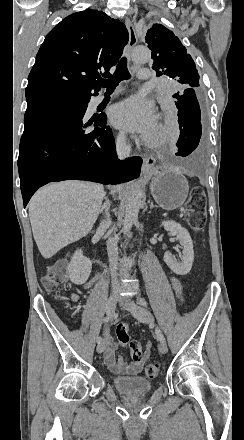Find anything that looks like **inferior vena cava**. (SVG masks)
<instances>
[{
    "instance_id": "602c4592",
    "label": "inferior vena cava",
    "mask_w": 244,
    "mask_h": 440,
    "mask_svg": "<svg viewBox=\"0 0 244 440\" xmlns=\"http://www.w3.org/2000/svg\"><path fill=\"white\" fill-rule=\"evenodd\" d=\"M116 150L120 160H124V158H129L131 148L130 146H127L125 134H119L116 142ZM107 206H108V202L105 208H107ZM107 210H106V216H109ZM110 224L111 222L109 218H107V220L101 222L99 226V230H107ZM107 252L109 256L110 272L112 276V282H111L112 292H114V294H119V284L117 280L118 248L115 238H109L107 242Z\"/></svg>"
}]
</instances>
